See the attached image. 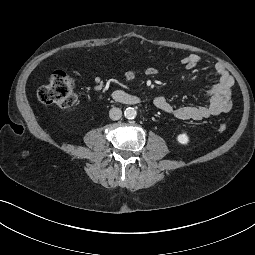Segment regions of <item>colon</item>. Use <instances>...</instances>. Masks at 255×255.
<instances>
[{
	"label": "colon",
	"mask_w": 255,
	"mask_h": 255,
	"mask_svg": "<svg viewBox=\"0 0 255 255\" xmlns=\"http://www.w3.org/2000/svg\"><path fill=\"white\" fill-rule=\"evenodd\" d=\"M37 97L44 104L55 105L65 110H73L76 105L72 79L62 71L54 72L48 82L38 88ZM217 129L219 132H225L227 127L221 123Z\"/></svg>",
	"instance_id": "obj_1"
}]
</instances>
